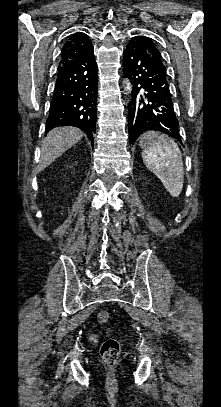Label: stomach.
<instances>
[{
  "mask_svg": "<svg viewBox=\"0 0 221 407\" xmlns=\"http://www.w3.org/2000/svg\"><path fill=\"white\" fill-rule=\"evenodd\" d=\"M156 137L155 133L149 132L141 137L139 142L140 147L144 148L147 147L149 144L154 142V138Z\"/></svg>",
  "mask_w": 221,
  "mask_h": 407,
  "instance_id": "obj_1",
  "label": "stomach"
}]
</instances>
